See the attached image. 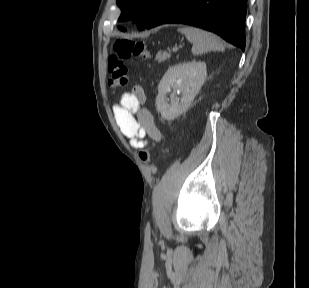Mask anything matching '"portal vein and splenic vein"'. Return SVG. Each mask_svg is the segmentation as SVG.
I'll return each instance as SVG.
<instances>
[{"instance_id": "portal-vein-and-splenic-vein-1", "label": "portal vein and splenic vein", "mask_w": 309, "mask_h": 288, "mask_svg": "<svg viewBox=\"0 0 309 288\" xmlns=\"http://www.w3.org/2000/svg\"><path fill=\"white\" fill-rule=\"evenodd\" d=\"M178 51V47H174L173 49H172V52H177Z\"/></svg>"}]
</instances>
